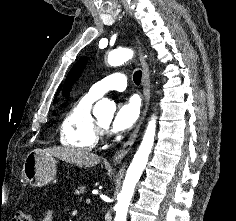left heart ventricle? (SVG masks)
<instances>
[{"instance_id": "b2bd125f", "label": "left heart ventricle", "mask_w": 236, "mask_h": 221, "mask_svg": "<svg viewBox=\"0 0 236 221\" xmlns=\"http://www.w3.org/2000/svg\"><path fill=\"white\" fill-rule=\"evenodd\" d=\"M109 118H102V119H99L98 121L103 125V126H107L108 123H109Z\"/></svg>"}]
</instances>
